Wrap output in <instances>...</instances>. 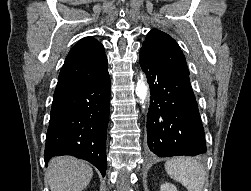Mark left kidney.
<instances>
[{"mask_svg":"<svg viewBox=\"0 0 251 191\" xmlns=\"http://www.w3.org/2000/svg\"><path fill=\"white\" fill-rule=\"evenodd\" d=\"M160 191H178L174 183H161Z\"/></svg>","mask_w":251,"mask_h":191,"instance_id":"left-kidney-1","label":"left kidney"}]
</instances>
